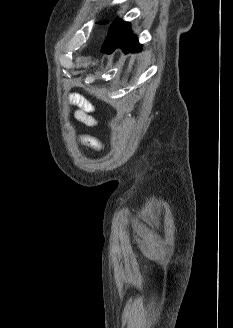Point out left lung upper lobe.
I'll return each instance as SVG.
<instances>
[{"mask_svg":"<svg viewBox=\"0 0 233 328\" xmlns=\"http://www.w3.org/2000/svg\"><path fill=\"white\" fill-rule=\"evenodd\" d=\"M100 24H105V22H100Z\"/></svg>","mask_w":233,"mask_h":328,"instance_id":"1","label":"left lung upper lobe"}]
</instances>
